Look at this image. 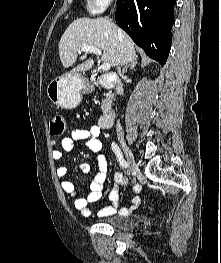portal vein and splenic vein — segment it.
<instances>
[{"label": "portal vein and splenic vein", "mask_w": 221, "mask_h": 263, "mask_svg": "<svg viewBox=\"0 0 221 263\" xmlns=\"http://www.w3.org/2000/svg\"><path fill=\"white\" fill-rule=\"evenodd\" d=\"M82 52H92V53H95L96 55L100 56L102 54L101 50L97 47H94V46H84V47H81L79 50H78V53L81 54ZM101 68L102 70L104 71H108L110 70L111 68V65L110 63L108 62H104L102 65H101Z\"/></svg>", "instance_id": "portal-vein-and-splenic-vein-1"}]
</instances>
